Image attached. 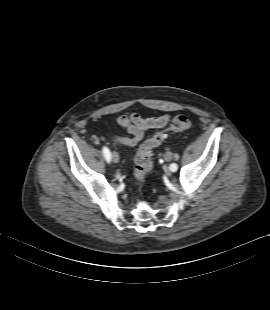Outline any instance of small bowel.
<instances>
[{"label": "small bowel", "instance_id": "small-bowel-1", "mask_svg": "<svg viewBox=\"0 0 270 310\" xmlns=\"http://www.w3.org/2000/svg\"><path fill=\"white\" fill-rule=\"evenodd\" d=\"M170 121L168 114L156 117H144L138 112L121 114L117 118V123L124 128L130 136H113V140L125 146H135L143 140L145 134L151 129H161Z\"/></svg>", "mask_w": 270, "mask_h": 310}]
</instances>
